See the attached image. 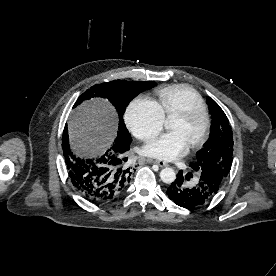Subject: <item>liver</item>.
<instances>
[{"label":"liver","instance_id":"6515ba94","mask_svg":"<svg viewBox=\"0 0 276 276\" xmlns=\"http://www.w3.org/2000/svg\"><path fill=\"white\" fill-rule=\"evenodd\" d=\"M116 130L114 108L102 99L84 102L68 121L70 146L79 156L92 157L109 148Z\"/></svg>","mask_w":276,"mask_h":276}]
</instances>
